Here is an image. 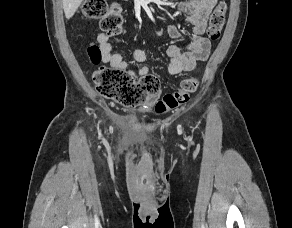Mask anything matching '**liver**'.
<instances>
[{
  "label": "liver",
  "mask_w": 292,
  "mask_h": 228,
  "mask_svg": "<svg viewBox=\"0 0 292 228\" xmlns=\"http://www.w3.org/2000/svg\"><path fill=\"white\" fill-rule=\"evenodd\" d=\"M82 1L83 0H62L65 17L67 19H70L75 14Z\"/></svg>",
  "instance_id": "6515ba94"
}]
</instances>
